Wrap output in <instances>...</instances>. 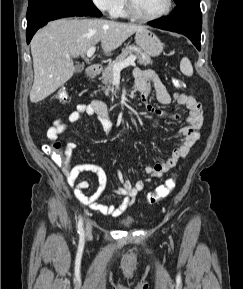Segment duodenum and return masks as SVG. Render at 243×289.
<instances>
[{
    "label": "duodenum",
    "instance_id": "1",
    "mask_svg": "<svg viewBox=\"0 0 243 289\" xmlns=\"http://www.w3.org/2000/svg\"><path fill=\"white\" fill-rule=\"evenodd\" d=\"M100 67L97 65H92L87 68L86 74L89 78H94L99 74Z\"/></svg>",
    "mask_w": 243,
    "mask_h": 289
}]
</instances>
